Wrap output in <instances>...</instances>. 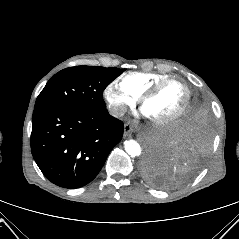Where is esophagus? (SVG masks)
I'll return each instance as SVG.
<instances>
[{"label": "esophagus", "instance_id": "1", "mask_svg": "<svg viewBox=\"0 0 239 239\" xmlns=\"http://www.w3.org/2000/svg\"><path fill=\"white\" fill-rule=\"evenodd\" d=\"M132 130H133V128L129 123L124 125V135L125 136H128L132 132Z\"/></svg>", "mask_w": 239, "mask_h": 239}]
</instances>
